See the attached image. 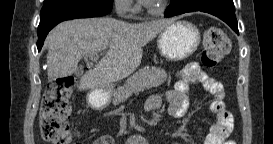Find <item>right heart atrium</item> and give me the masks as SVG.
<instances>
[{
  "label": "right heart atrium",
  "mask_w": 273,
  "mask_h": 144,
  "mask_svg": "<svg viewBox=\"0 0 273 144\" xmlns=\"http://www.w3.org/2000/svg\"><path fill=\"white\" fill-rule=\"evenodd\" d=\"M114 4L123 13H134L137 10L132 0H115Z\"/></svg>",
  "instance_id": "obj_1"
}]
</instances>
